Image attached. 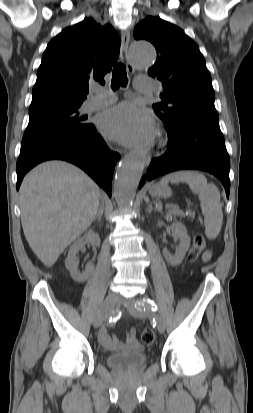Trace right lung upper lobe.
<instances>
[{
  "label": "right lung upper lobe",
  "mask_w": 253,
  "mask_h": 413,
  "mask_svg": "<svg viewBox=\"0 0 253 413\" xmlns=\"http://www.w3.org/2000/svg\"><path fill=\"white\" fill-rule=\"evenodd\" d=\"M120 49V39L111 25L92 18L65 28L50 41L43 54L33 87L29 113L52 108L80 106L89 83L104 84Z\"/></svg>",
  "instance_id": "1"
}]
</instances>
